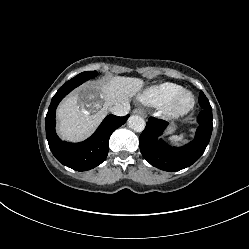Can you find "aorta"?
I'll return each instance as SVG.
<instances>
[{"label":"aorta","instance_id":"obj_1","mask_svg":"<svg viewBox=\"0 0 249 249\" xmlns=\"http://www.w3.org/2000/svg\"><path fill=\"white\" fill-rule=\"evenodd\" d=\"M128 126L136 132H142L145 128V120L138 115H132L128 119Z\"/></svg>","mask_w":249,"mask_h":249}]
</instances>
